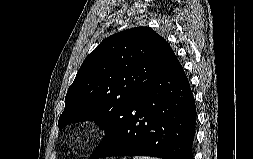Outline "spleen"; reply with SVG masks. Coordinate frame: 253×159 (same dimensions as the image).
<instances>
[{"instance_id": "obj_1", "label": "spleen", "mask_w": 253, "mask_h": 159, "mask_svg": "<svg viewBox=\"0 0 253 159\" xmlns=\"http://www.w3.org/2000/svg\"><path fill=\"white\" fill-rule=\"evenodd\" d=\"M133 159H159V158L148 157V156H135Z\"/></svg>"}]
</instances>
